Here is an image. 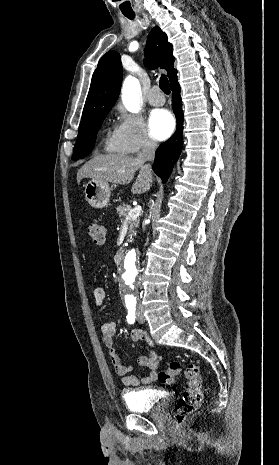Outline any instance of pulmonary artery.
<instances>
[{"mask_svg": "<svg viewBox=\"0 0 279 465\" xmlns=\"http://www.w3.org/2000/svg\"><path fill=\"white\" fill-rule=\"evenodd\" d=\"M148 102L152 106H162L165 103V97L158 87H153L148 94Z\"/></svg>", "mask_w": 279, "mask_h": 465, "instance_id": "1", "label": "pulmonary artery"}]
</instances>
